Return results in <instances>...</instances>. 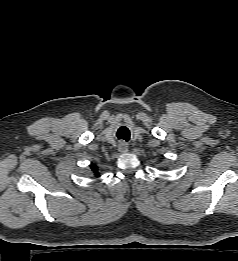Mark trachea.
I'll use <instances>...</instances> for the list:
<instances>
[{
	"label": "trachea",
	"instance_id": "1",
	"mask_svg": "<svg viewBox=\"0 0 238 261\" xmlns=\"http://www.w3.org/2000/svg\"><path fill=\"white\" fill-rule=\"evenodd\" d=\"M117 137H118V139L129 141L130 132L126 127H120V129L117 132Z\"/></svg>",
	"mask_w": 238,
	"mask_h": 261
}]
</instances>
